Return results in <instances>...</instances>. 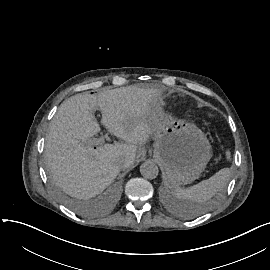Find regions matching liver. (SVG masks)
Instances as JSON below:
<instances>
[{
  "instance_id": "6515ba94",
  "label": "liver",
  "mask_w": 270,
  "mask_h": 270,
  "mask_svg": "<svg viewBox=\"0 0 270 270\" xmlns=\"http://www.w3.org/2000/svg\"><path fill=\"white\" fill-rule=\"evenodd\" d=\"M160 90L130 85L98 95L76 94L58 108L46 136L45 158L56 185L69 195L89 199L103 192L120 170L133 164L137 145L152 134L150 120ZM99 108L108 131L124 143L92 147L100 131Z\"/></svg>"
}]
</instances>
